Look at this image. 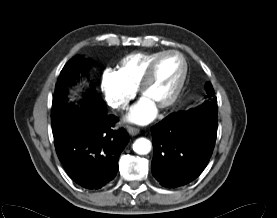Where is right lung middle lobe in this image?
<instances>
[{
	"label": "right lung middle lobe",
	"mask_w": 277,
	"mask_h": 218,
	"mask_svg": "<svg viewBox=\"0 0 277 218\" xmlns=\"http://www.w3.org/2000/svg\"><path fill=\"white\" fill-rule=\"evenodd\" d=\"M90 67V61L83 57H73L69 60L60 72L59 80H64L67 83L73 82L79 79L80 75H84L88 72ZM93 94V101H90V106L87 108L91 117H98L106 113V107L103 100L97 94L95 89L91 86ZM83 106H76L68 103L67 101L53 100L52 102V115L51 123L53 136L58 139L70 129L82 125L86 121H82V117H87V114L82 112Z\"/></svg>",
	"instance_id": "obj_1"
}]
</instances>
